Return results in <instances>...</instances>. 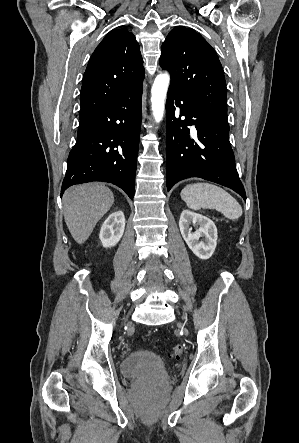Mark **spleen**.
I'll use <instances>...</instances> for the list:
<instances>
[{"instance_id":"1","label":"spleen","mask_w":299,"mask_h":443,"mask_svg":"<svg viewBox=\"0 0 299 443\" xmlns=\"http://www.w3.org/2000/svg\"><path fill=\"white\" fill-rule=\"evenodd\" d=\"M181 198L192 210L216 209L230 220L242 215V207L237 200L224 189L210 183L187 185L181 191Z\"/></svg>"}]
</instances>
